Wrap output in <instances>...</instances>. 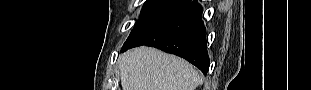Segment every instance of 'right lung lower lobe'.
I'll return each instance as SVG.
<instances>
[{"label": "right lung lower lobe", "mask_w": 311, "mask_h": 90, "mask_svg": "<svg viewBox=\"0 0 311 90\" xmlns=\"http://www.w3.org/2000/svg\"><path fill=\"white\" fill-rule=\"evenodd\" d=\"M202 11L193 1L169 22L133 43L124 44L121 51L141 45L152 46L185 58L207 74L209 57L205 27L201 21Z\"/></svg>", "instance_id": "right-lung-lower-lobe-1"}]
</instances>
